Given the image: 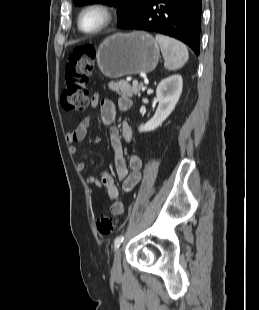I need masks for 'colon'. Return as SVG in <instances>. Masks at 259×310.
I'll list each match as a JSON object with an SVG mask.
<instances>
[{
	"instance_id": "colon-1",
	"label": "colon",
	"mask_w": 259,
	"mask_h": 310,
	"mask_svg": "<svg viewBox=\"0 0 259 310\" xmlns=\"http://www.w3.org/2000/svg\"><path fill=\"white\" fill-rule=\"evenodd\" d=\"M95 50L88 44L76 47L67 57L66 85L61 95V105L70 111H83L89 102L88 81L94 69ZM102 235H110L117 229L116 221L102 215L97 221Z\"/></svg>"
}]
</instances>
